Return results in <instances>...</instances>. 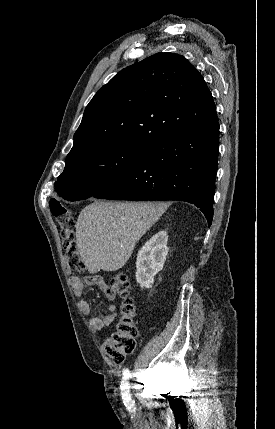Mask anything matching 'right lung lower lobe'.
Listing matches in <instances>:
<instances>
[{
    "label": "right lung lower lobe",
    "mask_w": 275,
    "mask_h": 429,
    "mask_svg": "<svg viewBox=\"0 0 275 429\" xmlns=\"http://www.w3.org/2000/svg\"><path fill=\"white\" fill-rule=\"evenodd\" d=\"M218 153V120L176 132L153 145L138 167L93 197L186 201L201 209L210 226Z\"/></svg>",
    "instance_id": "1"
}]
</instances>
